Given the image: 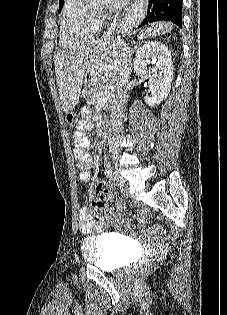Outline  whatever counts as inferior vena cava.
Segmentation results:
<instances>
[{"mask_svg":"<svg viewBox=\"0 0 227 315\" xmlns=\"http://www.w3.org/2000/svg\"><path fill=\"white\" fill-rule=\"evenodd\" d=\"M118 14L114 15L111 26L108 28L107 35L112 37L118 23ZM127 58L128 50L124 47V52L114 67L111 80V101H110V122L108 129V144L112 151L118 148V135L122 128L123 118L125 116V108L128 99V84L131 71V64ZM109 166V165H108Z\"/></svg>","mask_w":227,"mask_h":315,"instance_id":"1","label":"inferior vena cava"}]
</instances>
